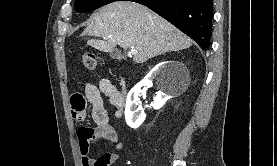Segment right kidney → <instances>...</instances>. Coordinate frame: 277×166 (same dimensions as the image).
Masks as SVG:
<instances>
[{
  "mask_svg": "<svg viewBox=\"0 0 277 166\" xmlns=\"http://www.w3.org/2000/svg\"><path fill=\"white\" fill-rule=\"evenodd\" d=\"M170 64H174L176 69L182 68V64L178 62H168ZM166 65L159 64L154 67L146 77L136 86H134L127 95L126 107H125V119L128 126L131 128H138L142 122L144 121L146 115L142 108L141 102L138 98L140 93V88L142 86H149L152 84L153 79L161 78L163 74V70ZM172 83L167 80V82L163 85V88L170 87ZM170 99V96L163 91H158L156 97L154 98L153 108L160 109L166 101Z\"/></svg>",
  "mask_w": 277,
  "mask_h": 166,
  "instance_id": "obj_1",
  "label": "right kidney"
}]
</instances>
